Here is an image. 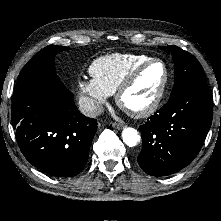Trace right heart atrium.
Masks as SVG:
<instances>
[{"label":"right heart atrium","mask_w":221,"mask_h":221,"mask_svg":"<svg viewBox=\"0 0 221 221\" xmlns=\"http://www.w3.org/2000/svg\"><path fill=\"white\" fill-rule=\"evenodd\" d=\"M82 96V109L88 115L96 114L106 103L108 94L105 93L92 79H80L77 82Z\"/></svg>","instance_id":"right-heart-atrium-1"}]
</instances>
